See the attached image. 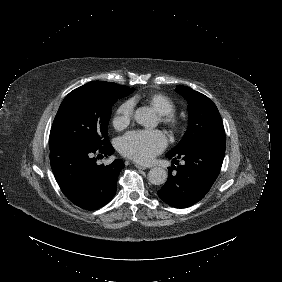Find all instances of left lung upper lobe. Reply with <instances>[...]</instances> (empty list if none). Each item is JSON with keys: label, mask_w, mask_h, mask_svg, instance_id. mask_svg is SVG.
<instances>
[{"label": "left lung upper lobe", "mask_w": 282, "mask_h": 282, "mask_svg": "<svg viewBox=\"0 0 282 282\" xmlns=\"http://www.w3.org/2000/svg\"><path fill=\"white\" fill-rule=\"evenodd\" d=\"M175 91L188 101V130L169 153H178L197 140L225 136L221 116L212 100L182 85L176 86Z\"/></svg>", "instance_id": "left-lung-upper-lobe-1"}]
</instances>
